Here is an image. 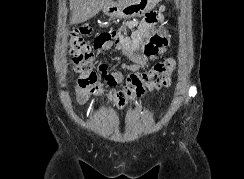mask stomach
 <instances>
[{"label": "stomach", "mask_w": 244, "mask_h": 179, "mask_svg": "<svg viewBox=\"0 0 244 179\" xmlns=\"http://www.w3.org/2000/svg\"><path fill=\"white\" fill-rule=\"evenodd\" d=\"M158 0H120L117 2H107L102 12L111 18H133V16H141V14H148L149 10L144 8H153Z\"/></svg>", "instance_id": "1"}]
</instances>
